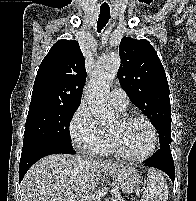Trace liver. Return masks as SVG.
Instances as JSON below:
<instances>
[{
    "label": "liver",
    "mask_w": 196,
    "mask_h": 201,
    "mask_svg": "<svg viewBox=\"0 0 196 201\" xmlns=\"http://www.w3.org/2000/svg\"><path fill=\"white\" fill-rule=\"evenodd\" d=\"M123 165L52 154L36 162L21 182L22 201H92L102 173Z\"/></svg>",
    "instance_id": "1"
}]
</instances>
